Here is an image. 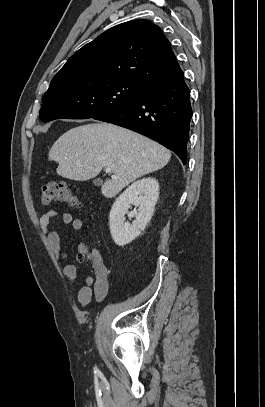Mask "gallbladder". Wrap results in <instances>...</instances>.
Returning a JSON list of instances; mask_svg holds the SVG:
<instances>
[{"label": "gallbladder", "instance_id": "gallbladder-1", "mask_svg": "<svg viewBox=\"0 0 265 407\" xmlns=\"http://www.w3.org/2000/svg\"><path fill=\"white\" fill-rule=\"evenodd\" d=\"M93 183H94L95 185L99 186V185L102 184V181H101L100 179H95V180L93 181Z\"/></svg>", "mask_w": 265, "mask_h": 407}]
</instances>
